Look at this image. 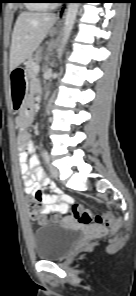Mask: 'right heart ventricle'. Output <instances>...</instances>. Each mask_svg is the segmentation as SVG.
Wrapping results in <instances>:
<instances>
[{"label":"right heart ventricle","mask_w":136,"mask_h":296,"mask_svg":"<svg viewBox=\"0 0 136 296\" xmlns=\"http://www.w3.org/2000/svg\"><path fill=\"white\" fill-rule=\"evenodd\" d=\"M44 0H31L30 2L33 3H28L27 6L30 9H46L47 4L43 2Z\"/></svg>","instance_id":"1"}]
</instances>
